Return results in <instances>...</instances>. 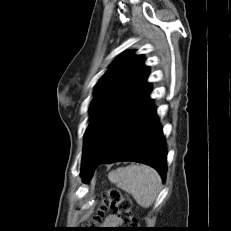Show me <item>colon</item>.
<instances>
[{"label":"colon","instance_id":"obj_1","mask_svg":"<svg viewBox=\"0 0 231 231\" xmlns=\"http://www.w3.org/2000/svg\"><path fill=\"white\" fill-rule=\"evenodd\" d=\"M107 210H113L120 224L124 226H131L136 223L132 212V201L117 189L110 188L102 191L101 205L94 222L100 221Z\"/></svg>","mask_w":231,"mask_h":231}]
</instances>
